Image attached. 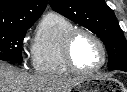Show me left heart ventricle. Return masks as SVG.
Instances as JSON below:
<instances>
[{"mask_svg": "<svg viewBox=\"0 0 127 92\" xmlns=\"http://www.w3.org/2000/svg\"><path fill=\"white\" fill-rule=\"evenodd\" d=\"M73 59L77 67L92 69L101 62V51L96 42L86 34H80L74 41Z\"/></svg>", "mask_w": 127, "mask_h": 92, "instance_id": "obj_1", "label": "left heart ventricle"}]
</instances>
